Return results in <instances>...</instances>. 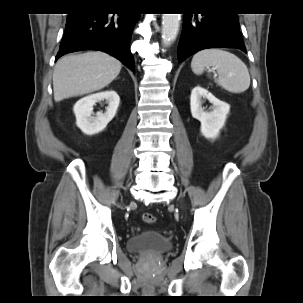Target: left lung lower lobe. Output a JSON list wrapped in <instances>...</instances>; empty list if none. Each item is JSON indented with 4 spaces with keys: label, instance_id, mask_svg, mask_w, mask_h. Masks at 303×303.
Returning <instances> with one entry per match:
<instances>
[{
    "label": "left lung lower lobe",
    "instance_id": "obj_1",
    "mask_svg": "<svg viewBox=\"0 0 303 303\" xmlns=\"http://www.w3.org/2000/svg\"><path fill=\"white\" fill-rule=\"evenodd\" d=\"M206 48H236L246 53L237 14L211 12L184 15L177 50L178 61L183 62L192 54Z\"/></svg>",
    "mask_w": 303,
    "mask_h": 303
}]
</instances>
